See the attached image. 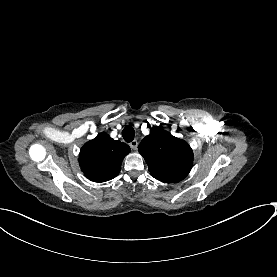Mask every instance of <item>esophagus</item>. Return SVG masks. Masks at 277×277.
I'll list each match as a JSON object with an SVG mask.
<instances>
[{
	"mask_svg": "<svg viewBox=\"0 0 277 277\" xmlns=\"http://www.w3.org/2000/svg\"><path fill=\"white\" fill-rule=\"evenodd\" d=\"M129 145H130V147H131L133 150H136L137 147H138V142H137L136 139H134L133 141H131V142L129 143Z\"/></svg>",
	"mask_w": 277,
	"mask_h": 277,
	"instance_id": "34e87169",
	"label": "esophagus"
}]
</instances>
